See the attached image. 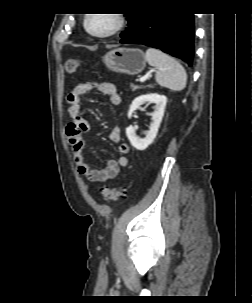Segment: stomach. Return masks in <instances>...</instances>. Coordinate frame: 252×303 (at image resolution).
I'll use <instances>...</instances> for the list:
<instances>
[{
    "instance_id": "1",
    "label": "stomach",
    "mask_w": 252,
    "mask_h": 303,
    "mask_svg": "<svg viewBox=\"0 0 252 303\" xmlns=\"http://www.w3.org/2000/svg\"><path fill=\"white\" fill-rule=\"evenodd\" d=\"M106 67L117 73L136 75L146 66L144 53L139 49L118 48L103 57Z\"/></svg>"
}]
</instances>
